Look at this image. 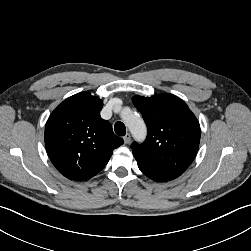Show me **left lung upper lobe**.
I'll return each instance as SVG.
<instances>
[{"instance_id":"5c2ea615","label":"left lung upper lobe","mask_w":251,"mask_h":251,"mask_svg":"<svg viewBox=\"0 0 251 251\" xmlns=\"http://www.w3.org/2000/svg\"><path fill=\"white\" fill-rule=\"evenodd\" d=\"M148 128L144 143L131 145L138 167L180 176L192 163L200 142V125L188 106L173 94L134 96Z\"/></svg>"}]
</instances>
